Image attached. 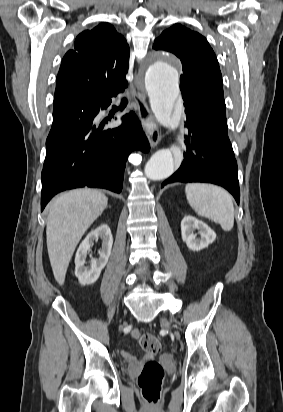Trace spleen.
Wrapping results in <instances>:
<instances>
[{
    "instance_id": "obj_1",
    "label": "spleen",
    "mask_w": 283,
    "mask_h": 412,
    "mask_svg": "<svg viewBox=\"0 0 283 412\" xmlns=\"http://www.w3.org/2000/svg\"><path fill=\"white\" fill-rule=\"evenodd\" d=\"M189 205L200 216L218 223L224 231L234 225V206L231 196L222 188L203 183L185 187Z\"/></svg>"
}]
</instances>
